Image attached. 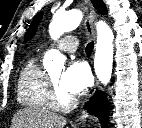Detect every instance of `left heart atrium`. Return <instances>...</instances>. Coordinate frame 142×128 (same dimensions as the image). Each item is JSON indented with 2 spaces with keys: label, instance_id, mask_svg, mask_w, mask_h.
Segmentation results:
<instances>
[{
  "label": "left heart atrium",
  "instance_id": "obj_1",
  "mask_svg": "<svg viewBox=\"0 0 142 128\" xmlns=\"http://www.w3.org/2000/svg\"><path fill=\"white\" fill-rule=\"evenodd\" d=\"M92 81L88 66L80 61L69 64L60 77V88L68 96H77L84 93Z\"/></svg>",
  "mask_w": 142,
  "mask_h": 128
}]
</instances>
